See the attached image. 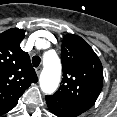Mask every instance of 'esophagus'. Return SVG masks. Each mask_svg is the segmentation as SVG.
Wrapping results in <instances>:
<instances>
[{"instance_id":"obj_1","label":"esophagus","mask_w":117,"mask_h":117,"mask_svg":"<svg viewBox=\"0 0 117 117\" xmlns=\"http://www.w3.org/2000/svg\"><path fill=\"white\" fill-rule=\"evenodd\" d=\"M41 70H42L41 67L36 68V73H37V75H39V74L41 73Z\"/></svg>"}]
</instances>
